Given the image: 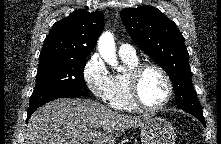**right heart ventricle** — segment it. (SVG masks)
<instances>
[{"instance_id":"obj_1","label":"right heart ventricle","mask_w":221,"mask_h":144,"mask_svg":"<svg viewBox=\"0 0 221 144\" xmlns=\"http://www.w3.org/2000/svg\"><path fill=\"white\" fill-rule=\"evenodd\" d=\"M121 59L128 71L139 64L137 58L130 59L121 57ZM127 74L128 72H125L113 76L114 93L109 102L113 108L120 111H133L136 109V106L132 103L129 96Z\"/></svg>"}]
</instances>
